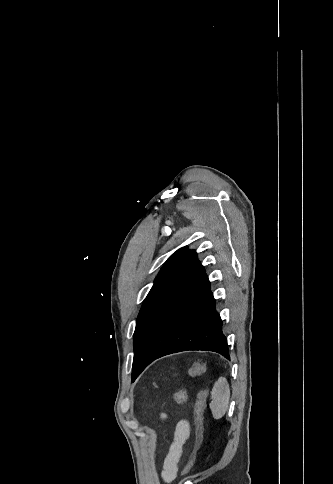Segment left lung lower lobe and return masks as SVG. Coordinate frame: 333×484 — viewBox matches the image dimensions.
I'll use <instances>...</instances> for the list:
<instances>
[{
    "instance_id": "0a47b994",
    "label": "left lung lower lobe",
    "mask_w": 333,
    "mask_h": 484,
    "mask_svg": "<svg viewBox=\"0 0 333 484\" xmlns=\"http://www.w3.org/2000/svg\"><path fill=\"white\" fill-rule=\"evenodd\" d=\"M187 350L230 359L210 282L197 257L182 267L150 311L134 346L133 368L141 371L157 358Z\"/></svg>"
}]
</instances>
